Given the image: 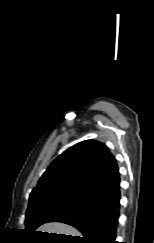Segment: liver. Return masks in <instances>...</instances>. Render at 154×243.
Here are the masks:
<instances>
[{
	"instance_id": "1",
	"label": "liver",
	"mask_w": 154,
	"mask_h": 243,
	"mask_svg": "<svg viewBox=\"0 0 154 243\" xmlns=\"http://www.w3.org/2000/svg\"><path fill=\"white\" fill-rule=\"evenodd\" d=\"M37 231L41 232H49V233H56V234H64V235H72V236H80V232L69 226L67 224H63L60 222H50L42 225L38 228Z\"/></svg>"
}]
</instances>
